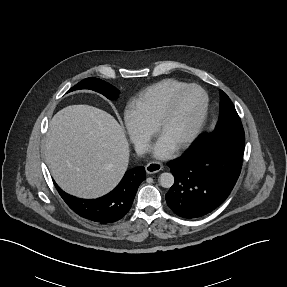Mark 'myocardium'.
Returning <instances> with one entry per match:
<instances>
[{
	"label": "myocardium",
	"instance_id": "f54148a6",
	"mask_svg": "<svg viewBox=\"0 0 287 287\" xmlns=\"http://www.w3.org/2000/svg\"><path fill=\"white\" fill-rule=\"evenodd\" d=\"M189 90H197L202 94L203 101H202V107H201V112L199 119L193 129L190 131V133L186 136L184 140H182L178 145L172 147V150L174 152H179L188 146L191 145V143L198 137L200 132L202 131L206 120L208 116V107H209V98L207 93L202 89L200 86L196 84H188L185 85L184 87L180 88L176 92H174L171 97L169 98L165 108L163 109L159 119L157 120L155 127H154V134L156 138H159L162 129L168 122L170 116L173 113L175 103L177 100L187 91Z\"/></svg>",
	"mask_w": 287,
	"mask_h": 287
}]
</instances>
